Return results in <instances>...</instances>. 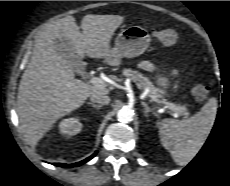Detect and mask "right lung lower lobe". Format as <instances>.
<instances>
[{"label":"right lung lower lobe","mask_w":230,"mask_h":186,"mask_svg":"<svg viewBox=\"0 0 230 186\" xmlns=\"http://www.w3.org/2000/svg\"><path fill=\"white\" fill-rule=\"evenodd\" d=\"M95 155H96V152L93 155H91L90 157H88L87 159L82 160V161L77 162V163H74V164L54 163V165L59 166V167H66V168L76 167V166H80V165L86 163L87 161L92 159Z\"/></svg>","instance_id":"98d812e1"}]
</instances>
